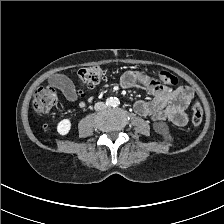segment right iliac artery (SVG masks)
Returning <instances> with one entry per match:
<instances>
[{"instance_id": "right-iliac-artery-1", "label": "right iliac artery", "mask_w": 224, "mask_h": 224, "mask_svg": "<svg viewBox=\"0 0 224 224\" xmlns=\"http://www.w3.org/2000/svg\"><path fill=\"white\" fill-rule=\"evenodd\" d=\"M113 104V100H112V98H108L107 100H106V105L107 106H111Z\"/></svg>"}]
</instances>
